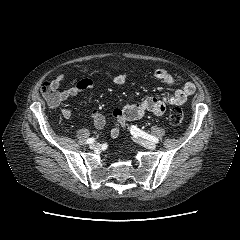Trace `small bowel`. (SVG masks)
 I'll return each instance as SVG.
<instances>
[{
  "instance_id": "c3829d8e",
  "label": "small bowel",
  "mask_w": 240,
  "mask_h": 240,
  "mask_svg": "<svg viewBox=\"0 0 240 240\" xmlns=\"http://www.w3.org/2000/svg\"><path fill=\"white\" fill-rule=\"evenodd\" d=\"M65 74H60L52 81L48 82L54 92L56 93L59 104L66 101L68 98L78 95L79 93L94 88V82L89 78H84L76 82L73 86L59 90L61 82L65 79ZM154 77L162 81L166 85H174L178 76L170 73L165 69H156ZM127 75L119 74L112 78V83L115 85H123L126 82ZM195 92V85L190 81H184L182 86L177 88L172 94L163 97H148L138 103H128L121 108L114 109L112 117L114 119V127L111 129V137L116 138L121 129L126 127L128 121H133L144 116L145 113L150 112L156 116H161L165 113L167 106L179 107L186 103L189 96ZM61 114L65 119L72 117V111L68 107L61 110ZM91 118L97 129H102L106 124L104 115L97 109H92L90 112Z\"/></svg>"
}]
</instances>
